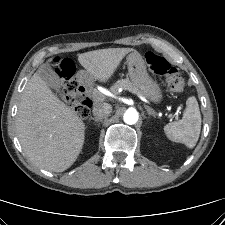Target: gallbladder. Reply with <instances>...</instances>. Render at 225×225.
Listing matches in <instances>:
<instances>
[{
    "label": "gallbladder",
    "mask_w": 225,
    "mask_h": 225,
    "mask_svg": "<svg viewBox=\"0 0 225 225\" xmlns=\"http://www.w3.org/2000/svg\"><path fill=\"white\" fill-rule=\"evenodd\" d=\"M37 73L41 77V79L46 82V84L56 90H59L61 86L60 78L54 72L52 67L49 64H42L39 68Z\"/></svg>",
    "instance_id": "obj_1"
}]
</instances>
